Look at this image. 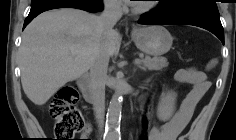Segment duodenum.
Masks as SVG:
<instances>
[{"instance_id": "duodenum-1", "label": "duodenum", "mask_w": 236, "mask_h": 140, "mask_svg": "<svg viewBox=\"0 0 236 140\" xmlns=\"http://www.w3.org/2000/svg\"><path fill=\"white\" fill-rule=\"evenodd\" d=\"M78 86L86 102L91 103L95 100L94 91L91 86V80L88 75H82L79 77Z\"/></svg>"}]
</instances>
